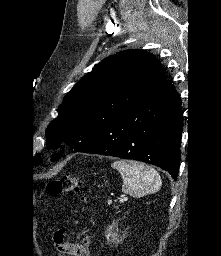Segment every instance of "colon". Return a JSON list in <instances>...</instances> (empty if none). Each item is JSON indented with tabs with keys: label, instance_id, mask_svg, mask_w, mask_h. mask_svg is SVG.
<instances>
[{
	"label": "colon",
	"instance_id": "colon-1",
	"mask_svg": "<svg viewBox=\"0 0 221 256\" xmlns=\"http://www.w3.org/2000/svg\"><path fill=\"white\" fill-rule=\"evenodd\" d=\"M84 188V182L74 176H62L52 180L46 184V190L50 195L57 196L61 194H68L71 192H78ZM89 201V197H86ZM64 231H58L54 236V243L59 252H65L64 245Z\"/></svg>",
	"mask_w": 221,
	"mask_h": 256
}]
</instances>
